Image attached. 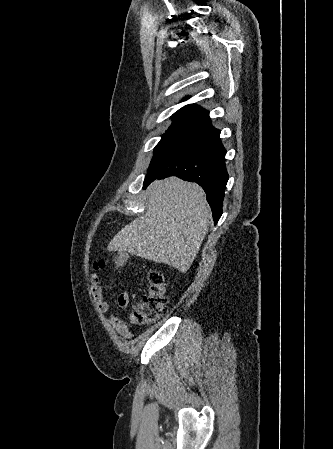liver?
<instances>
[{
	"label": "liver",
	"mask_w": 333,
	"mask_h": 449,
	"mask_svg": "<svg viewBox=\"0 0 333 449\" xmlns=\"http://www.w3.org/2000/svg\"><path fill=\"white\" fill-rule=\"evenodd\" d=\"M146 194L145 214L122 228L108 250L128 252L186 272L210 224L211 210L203 189L170 177L151 183Z\"/></svg>",
	"instance_id": "1"
}]
</instances>
